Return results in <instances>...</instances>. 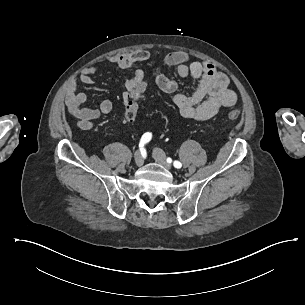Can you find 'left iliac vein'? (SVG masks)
Instances as JSON below:
<instances>
[{
  "mask_svg": "<svg viewBox=\"0 0 305 305\" xmlns=\"http://www.w3.org/2000/svg\"><path fill=\"white\" fill-rule=\"evenodd\" d=\"M153 155L155 160L160 163L164 168H166L167 170L172 169V165L166 161V155L162 150L156 149L153 152Z\"/></svg>",
  "mask_w": 305,
  "mask_h": 305,
  "instance_id": "4c4485c4",
  "label": "left iliac vein"
}]
</instances>
